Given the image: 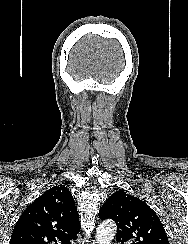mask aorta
<instances>
[{
	"instance_id": "aorta-1",
	"label": "aorta",
	"mask_w": 188,
	"mask_h": 244,
	"mask_svg": "<svg viewBox=\"0 0 188 244\" xmlns=\"http://www.w3.org/2000/svg\"><path fill=\"white\" fill-rule=\"evenodd\" d=\"M116 234V224L111 220L103 221L96 230L98 244H111Z\"/></svg>"
}]
</instances>
